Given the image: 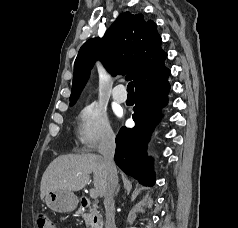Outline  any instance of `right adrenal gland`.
Wrapping results in <instances>:
<instances>
[{
	"mask_svg": "<svg viewBox=\"0 0 238 228\" xmlns=\"http://www.w3.org/2000/svg\"><path fill=\"white\" fill-rule=\"evenodd\" d=\"M119 190H120V185H118V187L116 189V192H115L116 195L118 194Z\"/></svg>",
	"mask_w": 238,
	"mask_h": 228,
	"instance_id": "right-adrenal-gland-1",
	"label": "right adrenal gland"
}]
</instances>
